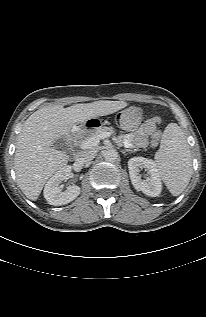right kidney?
<instances>
[{"label":"right kidney","mask_w":206,"mask_h":317,"mask_svg":"<svg viewBox=\"0 0 206 317\" xmlns=\"http://www.w3.org/2000/svg\"><path fill=\"white\" fill-rule=\"evenodd\" d=\"M71 177V166L67 165L59 169L46 183L44 197L50 205L61 206L70 203L80 194V187L70 185L62 191V181Z\"/></svg>","instance_id":"right-kidney-1"}]
</instances>
